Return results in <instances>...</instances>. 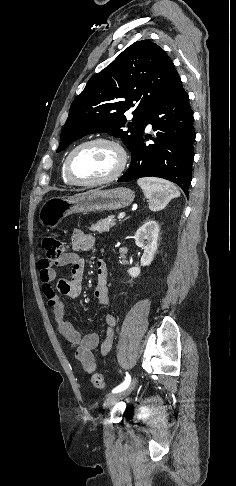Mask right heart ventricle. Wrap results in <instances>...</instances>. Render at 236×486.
Wrapping results in <instances>:
<instances>
[{
  "mask_svg": "<svg viewBox=\"0 0 236 486\" xmlns=\"http://www.w3.org/2000/svg\"><path fill=\"white\" fill-rule=\"evenodd\" d=\"M64 164H65V161L62 165V168H61V176H62V180L66 183V184H72L69 182V180L66 178L65 176V172H64Z\"/></svg>",
  "mask_w": 236,
  "mask_h": 486,
  "instance_id": "obj_1",
  "label": "right heart ventricle"
}]
</instances>
